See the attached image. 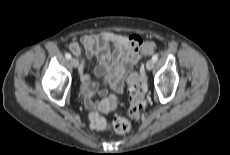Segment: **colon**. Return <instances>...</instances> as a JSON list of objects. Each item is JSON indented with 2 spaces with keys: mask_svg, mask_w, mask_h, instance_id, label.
Instances as JSON below:
<instances>
[{
  "mask_svg": "<svg viewBox=\"0 0 230 155\" xmlns=\"http://www.w3.org/2000/svg\"><path fill=\"white\" fill-rule=\"evenodd\" d=\"M139 38V37H138ZM136 46L140 49L143 54H150L154 51L155 44L149 41H143L138 39L135 41ZM130 85V107L129 115L132 118H138L142 108L145 105V83L140 72L134 73L129 77ZM110 107L113 109L116 107V99L112 98L109 101ZM90 126L97 130H110L113 129L115 132L124 134L130 131L131 123L122 118L117 117L114 119L112 124H108L104 118L97 113H92L89 116Z\"/></svg>",
  "mask_w": 230,
  "mask_h": 155,
  "instance_id": "obj_1",
  "label": "colon"
}]
</instances>
